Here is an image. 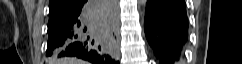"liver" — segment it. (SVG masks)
<instances>
[{"label": "liver", "mask_w": 242, "mask_h": 64, "mask_svg": "<svg viewBox=\"0 0 242 64\" xmlns=\"http://www.w3.org/2000/svg\"><path fill=\"white\" fill-rule=\"evenodd\" d=\"M57 62L58 64H86L85 61H82L79 59H69V58L60 59Z\"/></svg>", "instance_id": "liver-1"}]
</instances>
